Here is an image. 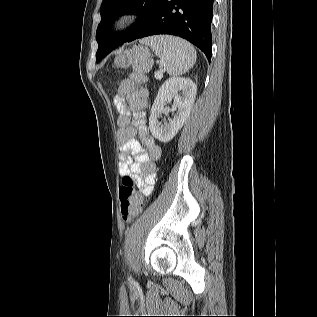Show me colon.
<instances>
[{"label": "colon", "mask_w": 317, "mask_h": 317, "mask_svg": "<svg viewBox=\"0 0 317 317\" xmlns=\"http://www.w3.org/2000/svg\"><path fill=\"white\" fill-rule=\"evenodd\" d=\"M114 66L116 68L132 66V79L136 82H142L144 73L150 67V60L144 56L132 58L130 53H123L115 59ZM119 201L121 216L126 222L135 219L143 209V199L135 191L134 179L130 175L123 177L122 184L119 187Z\"/></svg>", "instance_id": "obj_1"}]
</instances>
